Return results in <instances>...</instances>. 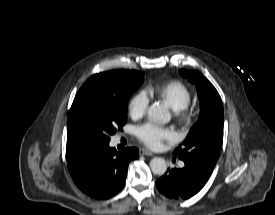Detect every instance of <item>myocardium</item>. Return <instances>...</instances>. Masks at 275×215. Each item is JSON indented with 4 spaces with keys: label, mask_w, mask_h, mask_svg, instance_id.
Segmentation results:
<instances>
[{
    "label": "myocardium",
    "mask_w": 275,
    "mask_h": 215,
    "mask_svg": "<svg viewBox=\"0 0 275 215\" xmlns=\"http://www.w3.org/2000/svg\"><path fill=\"white\" fill-rule=\"evenodd\" d=\"M177 116L185 122L190 121V115L184 109L177 111Z\"/></svg>",
    "instance_id": "myocardium-1"
}]
</instances>
